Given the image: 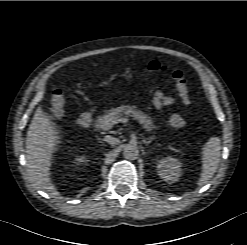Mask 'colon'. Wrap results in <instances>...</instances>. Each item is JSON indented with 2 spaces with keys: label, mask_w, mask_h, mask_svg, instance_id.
<instances>
[{
  "label": "colon",
  "mask_w": 247,
  "mask_h": 245,
  "mask_svg": "<svg viewBox=\"0 0 247 245\" xmlns=\"http://www.w3.org/2000/svg\"><path fill=\"white\" fill-rule=\"evenodd\" d=\"M148 70L164 72L168 70V67L157 60H152L147 65ZM172 78L175 82L178 95L180 96L183 104L185 106L191 105V100L189 97V85L188 80L181 70H173ZM65 98L61 90L56 89L52 93L51 97V111L55 117H60L64 111ZM169 126L173 129H181L185 126V119L178 114H174L170 117Z\"/></svg>",
  "instance_id": "obj_1"
}]
</instances>
